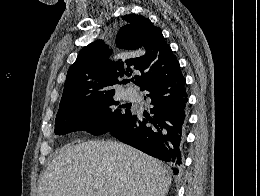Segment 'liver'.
<instances>
[{
  "instance_id": "6515ba94",
  "label": "liver",
  "mask_w": 260,
  "mask_h": 196,
  "mask_svg": "<svg viewBox=\"0 0 260 196\" xmlns=\"http://www.w3.org/2000/svg\"><path fill=\"white\" fill-rule=\"evenodd\" d=\"M171 182L163 162L131 146L83 142L54 156L37 196H166Z\"/></svg>"
}]
</instances>
